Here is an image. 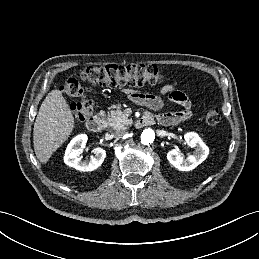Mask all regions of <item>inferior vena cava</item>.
Returning <instances> with one entry per match:
<instances>
[{
    "instance_id": "inferior-vena-cava-1",
    "label": "inferior vena cava",
    "mask_w": 259,
    "mask_h": 259,
    "mask_svg": "<svg viewBox=\"0 0 259 259\" xmlns=\"http://www.w3.org/2000/svg\"><path fill=\"white\" fill-rule=\"evenodd\" d=\"M127 131L124 129H118L114 132V136L118 139L123 138L127 135Z\"/></svg>"
}]
</instances>
